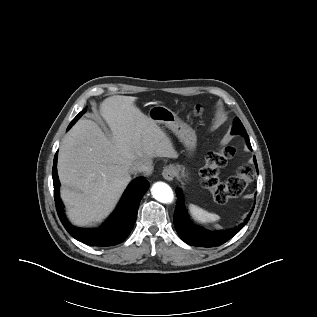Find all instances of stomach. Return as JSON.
<instances>
[{
	"mask_svg": "<svg viewBox=\"0 0 317 317\" xmlns=\"http://www.w3.org/2000/svg\"><path fill=\"white\" fill-rule=\"evenodd\" d=\"M148 117L156 124H162L173 131L179 140L186 147L188 152H192L196 148L197 138L195 131L186 123H184L178 115L164 105H155L150 108ZM176 174L182 177H188V173L182 165H170Z\"/></svg>",
	"mask_w": 317,
	"mask_h": 317,
	"instance_id": "stomach-1",
	"label": "stomach"
}]
</instances>
